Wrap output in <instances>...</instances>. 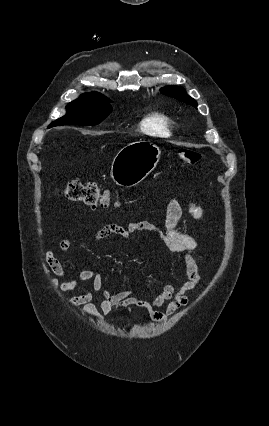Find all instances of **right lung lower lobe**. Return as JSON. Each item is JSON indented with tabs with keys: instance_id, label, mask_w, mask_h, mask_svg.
I'll list each match as a JSON object with an SVG mask.
<instances>
[{
	"instance_id": "98d812e1",
	"label": "right lung lower lobe",
	"mask_w": 269,
	"mask_h": 426,
	"mask_svg": "<svg viewBox=\"0 0 269 426\" xmlns=\"http://www.w3.org/2000/svg\"><path fill=\"white\" fill-rule=\"evenodd\" d=\"M49 127H54V125L50 124V126H49Z\"/></svg>"
}]
</instances>
